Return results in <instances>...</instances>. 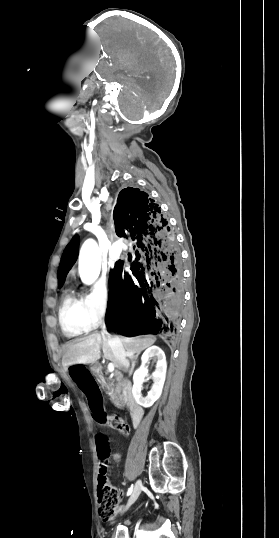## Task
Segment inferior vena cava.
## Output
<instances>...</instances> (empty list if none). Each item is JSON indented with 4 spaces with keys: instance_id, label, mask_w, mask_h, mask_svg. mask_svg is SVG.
Masks as SVG:
<instances>
[{
    "instance_id": "602c4592",
    "label": "inferior vena cava",
    "mask_w": 279,
    "mask_h": 538,
    "mask_svg": "<svg viewBox=\"0 0 279 538\" xmlns=\"http://www.w3.org/2000/svg\"><path fill=\"white\" fill-rule=\"evenodd\" d=\"M103 333L108 334L106 335V338H108L106 343H108V346L111 347L114 355L117 356V358H121L122 361H119V363L124 364L126 361L123 359H125L126 353L118 335H110L109 333H107V331H104ZM127 356H130L129 352H127Z\"/></svg>"
}]
</instances>
